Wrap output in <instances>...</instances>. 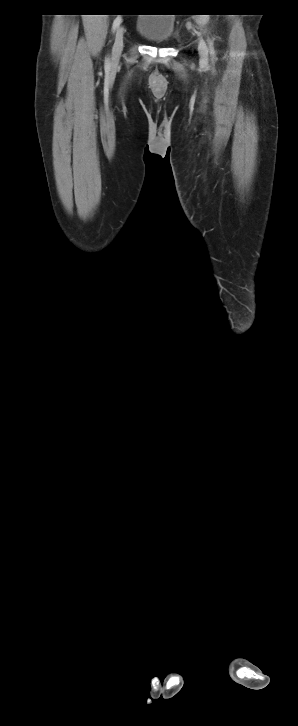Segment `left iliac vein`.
<instances>
[{
  "mask_svg": "<svg viewBox=\"0 0 298 726\" xmlns=\"http://www.w3.org/2000/svg\"><path fill=\"white\" fill-rule=\"evenodd\" d=\"M198 51L202 62L206 63L208 61V49L204 40L199 41Z\"/></svg>",
  "mask_w": 298,
  "mask_h": 726,
  "instance_id": "obj_1",
  "label": "left iliac vein"
}]
</instances>
